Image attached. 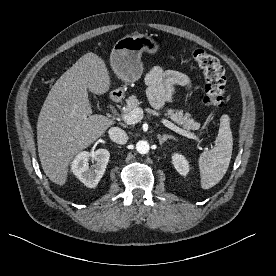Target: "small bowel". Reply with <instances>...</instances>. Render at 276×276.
I'll list each match as a JSON object with an SVG mask.
<instances>
[{"mask_svg": "<svg viewBox=\"0 0 276 276\" xmlns=\"http://www.w3.org/2000/svg\"><path fill=\"white\" fill-rule=\"evenodd\" d=\"M145 82L148 88V96L157 109L162 108L166 102L171 100L175 86L189 88L191 81L189 77L179 71L154 67L146 75Z\"/></svg>", "mask_w": 276, "mask_h": 276, "instance_id": "small-bowel-1", "label": "small bowel"}]
</instances>
